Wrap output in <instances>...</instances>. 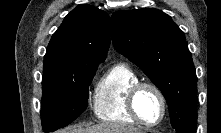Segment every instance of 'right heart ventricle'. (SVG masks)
Here are the masks:
<instances>
[{"label": "right heart ventricle", "instance_id": "e07e8e85", "mask_svg": "<svg viewBox=\"0 0 221 133\" xmlns=\"http://www.w3.org/2000/svg\"><path fill=\"white\" fill-rule=\"evenodd\" d=\"M140 82L137 73L119 63L110 67L97 83L93 94V112L105 122L136 124L127 107V95Z\"/></svg>", "mask_w": 221, "mask_h": 133}]
</instances>
